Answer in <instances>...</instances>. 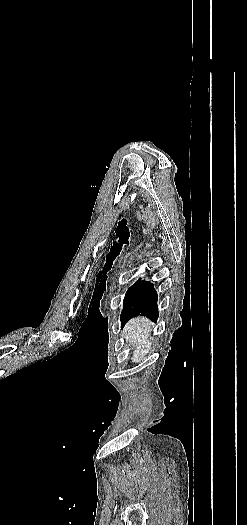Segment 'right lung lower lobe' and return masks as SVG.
<instances>
[{
    "instance_id": "98d812e1",
    "label": "right lung lower lobe",
    "mask_w": 247,
    "mask_h": 525,
    "mask_svg": "<svg viewBox=\"0 0 247 525\" xmlns=\"http://www.w3.org/2000/svg\"><path fill=\"white\" fill-rule=\"evenodd\" d=\"M157 299L158 295L153 284L148 281H141L124 304L120 317L122 327L128 320L138 315L156 320L158 318Z\"/></svg>"
}]
</instances>
